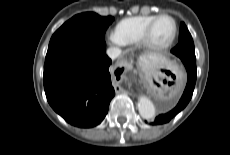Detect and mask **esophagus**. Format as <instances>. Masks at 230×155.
Masks as SVG:
<instances>
[{
    "instance_id": "obj_1",
    "label": "esophagus",
    "mask_w": 230,
    "mask_h": 155,
    "mask_svg": "<svg viewBox=\"0 0 230 155\" xmlns=\"http://www.w3.org/2000/svg\"><path fill=\"white\" fill-rule=\"evenodd\" d=\"M118 68H119V71H121V73L123 72L124 74L125 72H127V70L130 69V65L127 62L120 61L118 62ZM114 88H115L116 93H120L124 91V89L117 82H115Z\"/></svg>"
}]
</instances>
